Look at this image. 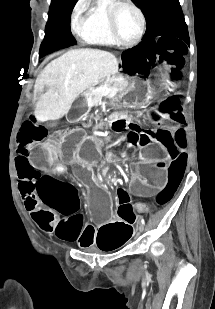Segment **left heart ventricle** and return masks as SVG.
I'll list each match as a JSON object with an SVG mask.
<instances>
[{
	"instance_id": "obj_1",
	"label": "left heart ventricle",
	"mask_w": 215,
	"mask_h": 309,
	"mask_svg": "<svg viewBox=\"0 0 215 309\" xmlns=\"http://www.w3.org/2000/svg\"><path fill=\"white\" fill-rule=\"evenodd\" d=\"M114 13H118V20H115V22H118L117 34H122V41H127L128 37L131 39L136 30L134 14L128 9H119Z\"/></svg>"
}]
</instances>
